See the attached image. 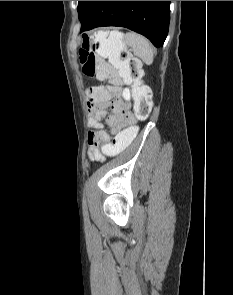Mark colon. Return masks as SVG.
I'll return each instance as SVG.
<instances>
[{
	"instance_id": "5ec220e1",
	"label": "colon",
	"mask_w": 233,
	"mask_h": 295,
	"mask_svg": "<svg viewBox=\"0 0 233 295\" xmlns=\"http://www.w3.org/2000/svg\"><path fill=\"white\" fill-rule=\"evenodd\" d=\"M83 73L91 78L108 81V85L91 86L88 97L116 95L122 83L133 86L134 111L138 120H146L152 109L150 88L141 82L140 62L127 50L124 36L116 31L85 34L79 49ZM138 128L130 126L118 132L112 142L103 147L107 155L114 156L127 149L135 140Z\"/></svg>"
}]
</instances>
